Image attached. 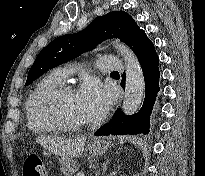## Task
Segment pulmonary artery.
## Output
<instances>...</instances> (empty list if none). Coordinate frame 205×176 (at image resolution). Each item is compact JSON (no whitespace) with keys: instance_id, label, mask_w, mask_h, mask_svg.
Segmentation results:
<instances>
[{"instance_id":"pulmonary-artery-1","label":"pulmonary artery","mask_w":205,"mask_h":176,"mask_svg":"<svg viewBox=\"0 0 205 176\" xmlns=\"http://www.w3.org/2000/svg\"><path fill=\"white\" fill-rule=\"evenodd\" d=\"M98 68L102 74L108 73L110 71H122L123 59L115 54L103 55L99 59ZM71 71V67H59L56 69L55 74L63 80L69 76Z\"/></svg>"}]
</instances>
